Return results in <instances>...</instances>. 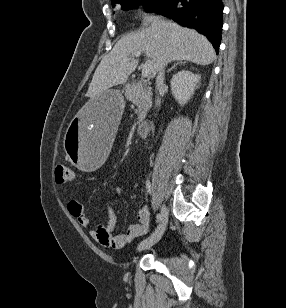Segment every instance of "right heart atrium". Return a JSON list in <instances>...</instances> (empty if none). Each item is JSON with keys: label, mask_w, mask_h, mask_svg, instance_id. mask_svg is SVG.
I'll return each instance as SVG.
<instances>
[{"label": "right heart atrium", "mask_w": 286, "mask_h": 308, "mask_svg": "<svg viewBox=\"0 0 286 308\" xmlns=\"http://www.w3.org/2000/svg\"><path fill=\"white\" fill-rule=\"evenodd\" d=\"M148 10V3L145 0H136L133 4L135 17L145 16Z\"/></svg>", "instance_id": "1"}]
</instances>
